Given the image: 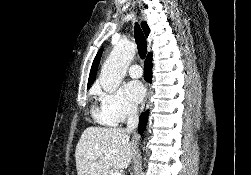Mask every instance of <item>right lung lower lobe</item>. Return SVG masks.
<instances>
[{
	"label": "right lung lower lobe",
	"mask_w": 251,
	"mask_h": 175,
	"mask_svg": "<svg viewBox=\"0 0 251 175\" xmlns=\"http://www.w3.org/2000/svg\"><path fill=\"white\" fill-rule=\"evenodd\" d=\"M152 58L146 59L144 63V78L147 82H151L152 80ZM148 111L143 112L140 117L139 122V132L142 133L145 130V126L148 120Z\"/></svg>",
	"instance_id": "obj_1"
}]
</instances>
